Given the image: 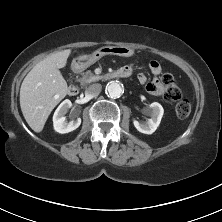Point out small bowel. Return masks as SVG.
Segmentation results:
<instances>
[{
    "instance_id": "small-bowel-1",
    "label": "small bowel",
    "mask_w": 222,
    "mask_h": 222,
    "mask_svg": "<svg viewBox=\"0 0 222 222\" xmlns=\"http://www.w3.org/2000/svg\"><path fill=\"white\" fill-rule=\"evenodd\" d=\"M123 68H126V69H129L130 72H131V67L129 66H125ZM149 68H150V71L154 74V75H158L160 74L161 72V66L160 64L153 60V61H150L149 63ZM138 80L141 84H146V89L147 91L152 94V95H161L164 91V87L161 83V81L156 77L154 78L152 81L150 82H147V77L143 74V73H140L138 75Z\"/></svg>"
}]
</instances>
